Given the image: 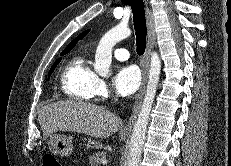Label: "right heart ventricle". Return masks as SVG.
<instances>
[{
  "label": "right heart ventricle",
  "mask_w": 231,
  "mask_h": 166,
  "mask_svg": "<svg viewBox=\"0 0 231 166\" xmlns=\"http://www.w3.org/2000/svg\"><path fill=\"white\" fill-rule=\"evenodd\" d=\"M96 74L87 62L85 54L72 57L64 66L60 85L63 93L70 99L89 101L94 97Z\"/></svg>",
  "instance_id": "right-heart-ventricle-1"
}]
</instances>
